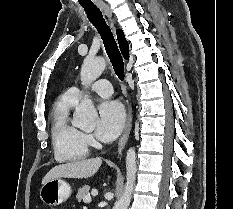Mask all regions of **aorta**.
I'll use <instances>...</instances> for the list:
<instances>
[{"instance_id":"aorta-1","label":"aorta","mask_w":233,"mask_h":209,"mask_svg":"<svg viewBox=\"0 0 233 209\" xmlns=\"http://www.w3.org/2000/svg\"><path fill=\"white\" fill-rule=\"evenodd\" d=\"M106 62L103 58L85 59L81 68L80 79L82 85L87 86L96 80L104 71ZM97 112L93 102L85 95L73 115L72 124L82 130L91 131L95 128ZM137 172L136 153L130 148L126 156V184L120 199L115 203L113 209H128L134 190Z\"/></svg>"}]
</instances>
